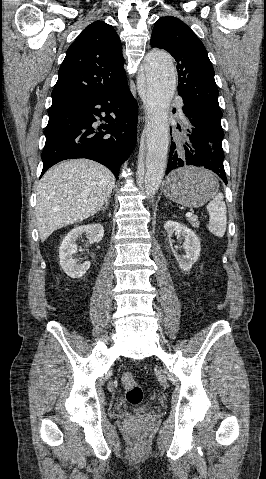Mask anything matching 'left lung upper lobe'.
Returning <instances> with one entry per match:
<instances>
[{
  "label": "left lung upper lobe",
  "mask_w": 266,
  "mask_h": 479,
  "mask_svg": "<svg viewBox=\"0 0 266 479\" xmlns=\"http://www.w3.org/2000/svg\"><path fill=\"white\" fill-rule=\"evenodd\" d=\"M151 46L165 49L173 56L177 63L178 94L183 98L184 109L200 124L215 145V151L223 154L219 91L214 69L201 40L180 19L165 16L154 25Z\"/></svg>",
  "instance_id": "left-lung-upper-lobe-1"
}]
</instances>
